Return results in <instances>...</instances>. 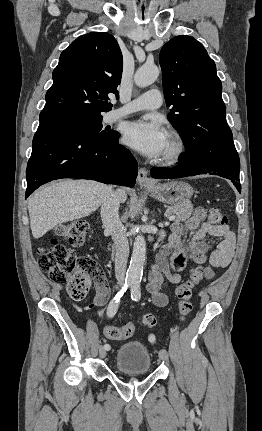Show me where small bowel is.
<instances>
[{"instance_id":"obj_1","label":"small bowel","mask_w":262,"mask_h":431,"mask_svg":"<svg viewBox=\"0 0 262 431\" xmlns=\"http://www.w3.org/2000/svg\"><path fill=\"white\" fill-rule=\"evenodd\" d=\"M204 217V211L197 209L185 221L171 224L167 242L157 253L149 272L147 289L156 306L165 307L168 304V297L163 293V289L169 283L176 284L182 281L181 271L188 259L195 264H202L208 259L210 266L204 270L207 278L214 275V269L225 268L230 264L234 255L235 235L227 225L214 226L202 221ZM185 230L193 231L187 242L183 241ZM209 236L222 239L215 250H212V244L207 241ZM95 289L91 305L102 306L107 302L110 293L104 277L97 280ZM149 340L154 342L155 336L150 334Z\"/></svg>"}]
</instances>
